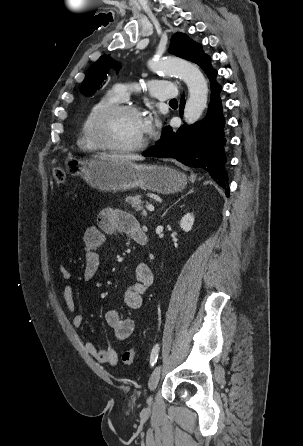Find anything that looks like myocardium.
<instances>
[{
  "instance_id": "myocardium-1",
  "label": "myocardium",
  "mask_w": 303,
  "mask_h": 446,
  "mask_svg": "<svg viewBox=\"0 0 303 446\" xmlns=\"http://www.w3.org/2000/svg\"><path fill=\"white\" fill-rule=\"evenodd\" d=\"M122 113L141 114L140 109L132 104L115 103L102 108L96 114L92 123L93 139L102 149L115 153H132L142 150L148 144L147 138L130 146H118L108 139L107 127L110 119Z\"/></svg>"
}]
</instances>
